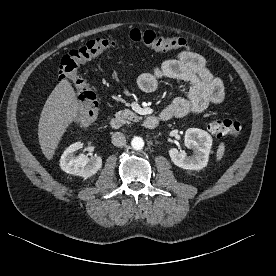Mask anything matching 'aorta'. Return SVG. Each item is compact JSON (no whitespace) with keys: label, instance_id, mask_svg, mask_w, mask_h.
Returning a JSON list of instances; mask_svg holds the SVG:
<instances>
[{"label":"aorta","instance_id":"1","mask_svg":"<svg viewBox=\"0 0 276 276\" xmlns=\"http://www.w3.org/2000/svg\"><path fill=\"white\" fill-rule=\"evenodd\" d=\"M131 146L134 150H141L144 147V140L141 137H134Z\"/></svg>","mask_w":276,"mask_h":276}]
</instances>
